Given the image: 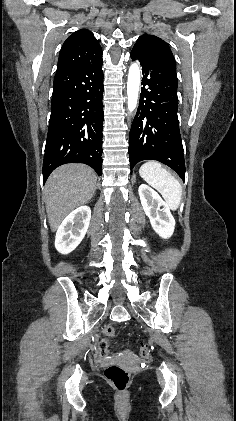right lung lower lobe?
Listing matches in <instances>:
<instances>
[{"label":"right lung lower lobe","mask_w":236,"mask_h":421,"mask_svg":"<svg viewBox=\"0 0 236 421\" xmlns=\"http://www.w3.org/2000/svg\"><path fill=\"white\" fill-rule=\"evenodd\" d=\"M102 57L56 72L43 160V182L66 163H84L102 174Z\"/></svg>","instance_id":"right-lung-lower-lobe-1"}]
</instances>
